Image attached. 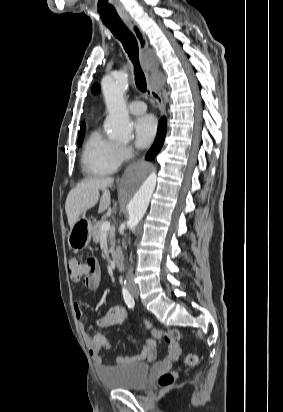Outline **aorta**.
Here are the masks:
<instances>
[{"label": "aorta", "mask_w": 283, "mask_h": 412, "mask_svg": "<svg viewBox=\"0 0 283 412\" xmlns=\"http://www.w3.org/2000/svg\"><path fill=\"white\" fill-rule=\"evenodd\" d=\"M129 84L127 71H118L102 81V91L109 117L107 132L113 139L127 140L131 136V125L124 93ZM156 185V175L148 168L128 170L122 179L121 190L127 200V226L134 231L146 213Z\"/></svg>", "instance_id": "aorta-1"}]
</instances>
